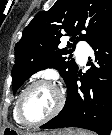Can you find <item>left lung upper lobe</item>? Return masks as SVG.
<instances>
[{"label": "left lung upper lobe", "instance_id": "left-lung-upper-lobe-1", "mask_svg": "<svg viewBox=\"0 0 112 135\" xmlns=\"http://www.w3.org/2000/svg\"><path fill=\"white\" fill-rule=\"evenodd\" d=\"M111 22V0H57L48 11L37 13L15 45L13 93L32 74L46 68L59 70L68 85L78 67L71 56L66 55L75 49L79 40L89 45L96 41ZM65 32L70 42L59 49L60 38Z\"/></svg>", "mask_w": 112, "mask_h": 135}]
</instances>
